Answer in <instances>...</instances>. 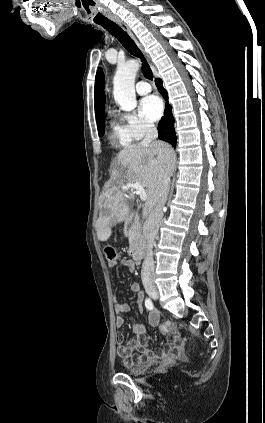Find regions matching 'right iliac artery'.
Here are the masks:
<instances>
[{
    "label": "right iliac artery",
    "instance_id": "82829eb1",
    "mask_svg": "<svg viewBox=\"0 0 265 423\" xmlns=\"http://www.w3.org/2000/svg\"><path fill=\"white\" fill-rule=\"evenodd\" d=\"M145 306L147 309L151 310L153 308V303L150 299L145 300Z\"/></svg>",
    "mask_w": 265,
    "mask_h": 423
}]
</instances>
